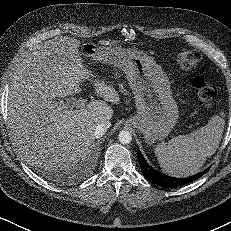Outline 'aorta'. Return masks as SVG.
<instances>
[{"label": "aorta", "instance_id": "762f6f07", "mask_svg": "<svg viewBox=\"0 0 231 231\" xmlns=\"http://www.w3.org/2000/svg\"><path fill=\"white\" fill-rule=\"evenodd\" d=\"M118 139L122 144H129L132 140V135L129 131H121L118 135Z\"/></svg>", "mask_w": 231, "mask_h": 231}]
</instances>
